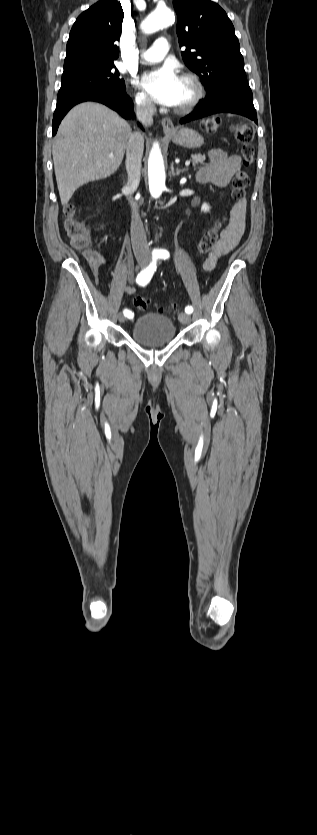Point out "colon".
<instances>
[{"instance_id": "obj_1", "label": "colon", "mask_w": 317, "mask_h": 835, "mask_svg": "<svg viewBox=\"0 0 317 835\" xmlns=\"http://www.w3.org/2000/svg\"><path fill=\"white\" fill-rule=\"evenodd\" d=\"M219 126L220 119L216 117H210L201 122L202 130L208 134L216 133ZM233 134L237 141L241 144V156L243 163L244 165L249 166L255 158V150L252 145L254 129L248 124L240 123L234 126ZM249 184V176L245 171H239L234 176L232 180L231 195L236 206H242L244 204ZM64 215L65 230L72 246L77 250L83 251L88 258H93L95 252L92 249V240L89 229L77 217L74 204L69 203L64 207ZM223 223L224 220L215 222L202 234L196 245L197 255H205L212 251L219 241V230L221 229ZM133 303L134 306L140 310H144L148 306V302L143 296H136Z\"/></svg>"}]
</instances>
